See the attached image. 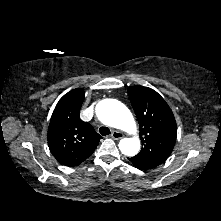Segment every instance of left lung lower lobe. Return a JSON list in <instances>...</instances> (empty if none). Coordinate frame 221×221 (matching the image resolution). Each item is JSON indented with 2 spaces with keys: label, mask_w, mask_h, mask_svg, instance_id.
<instances>
[{
  "label": "left lung lower lobe",
  "mask_w": 221,
  "mask_h": 221,
  "mask_svg": "<svg viewBox=\"0 0 221 221\" xmlns=\"http://www.w3.org/2000/svg\"><path fill=\"white\" fill-rule=\"evenodd\" d=\"M130 161L139 169L141 170H148V169H152L155 168L156 166L150 164V163H146L144 161H141L139 159L136 158H130Z\"/></svg>",
  "instance_id": "left-lung-lower-lobe-1"
}]
</instances>
